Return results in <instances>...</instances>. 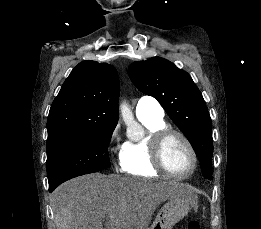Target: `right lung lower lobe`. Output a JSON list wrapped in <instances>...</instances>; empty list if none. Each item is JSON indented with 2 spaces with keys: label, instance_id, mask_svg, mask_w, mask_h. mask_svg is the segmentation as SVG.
I'll return each instance as SVG.
<instances>
[{
  "label": "right lung lower lobe",
  "instance_id": "obj_1",
  "mask_svg": "<svg viewBox=\"0 0 261 229\" xmlns=\"http://www.w3.org/2000/svg\"><path fill=\"white\" fill-rule=\"evenodd\" d=\"M53 190H54V189H52V188H49V192H50V193H51Z\"/></svg>",
  "mask_w": 261,
  "mask_h": 229
}]
</instances>
